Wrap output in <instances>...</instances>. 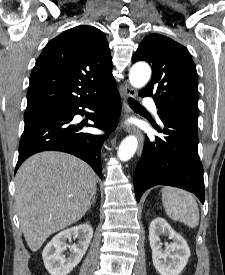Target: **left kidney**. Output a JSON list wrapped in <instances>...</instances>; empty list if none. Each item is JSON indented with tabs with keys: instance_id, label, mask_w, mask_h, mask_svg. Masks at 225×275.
Returning a JSON list of instances; mask_svg holds the SVG:
<instances>
[{
	"instance_id": "5707ae66",
	"label": "left kidney",
	"mask_w": 225,
	"mask_h": 275,
	"mask_svg": "<svg viewBox=\"0 0 225 275\" xmlns=\"http://www.w3.org/2000/svg\"><path fill=\"white\" fill-rule=\"evenodd\" d=\"M168 235L173 240L162 248L160 235ZM149 241L152 261L160 275H179L187 265L190 249L185 239L176 233L163 218L154 219L149 226Z\"/></svg>"
}]
</instances>
